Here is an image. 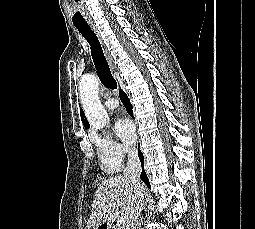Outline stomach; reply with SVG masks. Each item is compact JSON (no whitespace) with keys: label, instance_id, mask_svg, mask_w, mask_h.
<instances>
[{"label":"stomach","instance_id":"0dacf381","mask_svg":"<svg viewBox=\"0 0 255 229\" xmlns=\"http://www.w3.org/2000/svg\"><path fill=\"white\" fill-rule=\"evenodd\" d=\"M87 229H100V226H97V227H91V228H87Z\"/></svg>","mask_w":255,"mask_h":229}]
</instances>
